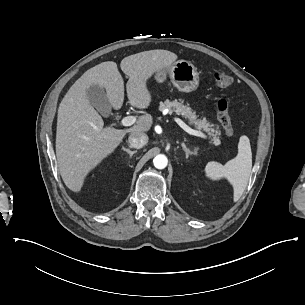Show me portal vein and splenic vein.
Here are the masks:
<instances>
[{"label":"portal vein and splenic vein","instance_id":"18ae733b","mask_svg":"<svg viewBox=\"0 0 305 305\" xmlns=\"http://www.w3.org/2000/svg\"><path fill=\"white\" fill-rule=\"evenodd\" d=\"M177 123L190 135L198 136L202 139L209 140V137L201 131L191 129L188 125H186L183 121L177 119ZM135 122V118L133 116H127L120 120V124L122 126H131Z\"/></svg>","mask_w":305,"mask_h":305}]
</instances>
